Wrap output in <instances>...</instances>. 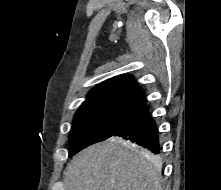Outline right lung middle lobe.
I'll return each mask as SVG.
<instances>
[{"label":"right lung middle lobe","instance_id":"1","mask_svg":"<svg viewBox=\"0 0 221 190\" xmlns=\"http://www.w3.org/2000/svg\"><path fill=\"white\" fill-rule=\"evenodd\" d=\"M137 110L111 104L80 106L69 137V157L113 136Z\"/></svg>","mask_w":221,"mask_h":190}]
</instances>
